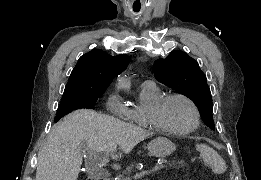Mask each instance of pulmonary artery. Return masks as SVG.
I'll return each instance as SVG.
<instances>
[{"label": "pulmonary artery", "mask_w": 261, "mask_h": 180, "mask_svg": "<svg viewBox=\"0 0 261 180\" xmlns=\"http://www.w3.org/2000/svg\"><path fill=\"white\" fill-rule=\"evenodd\" d=\"M151 81H145L143 84H151Z\"/></svg>", "instance_id": "obj_1"}]
</instances>
